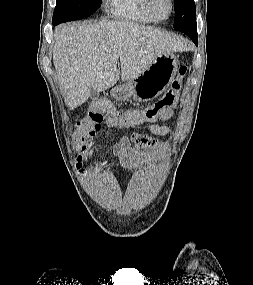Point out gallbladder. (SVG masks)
Wrapping results in <instances>:
<instances>
[{
    "mask_svg": "<svg viewBox=\"0 0 253 285\" xmlns=\"http://www.w3.org/2000/svg\"><path fill=\"white\" fill-rule=\"evenodd\" d=\"M97 96H98V92L93 87H91L90 88V97L96 98Z\"/></svg>",
    "mask_w": 253,
    "mask_h": 285,
    "instance_id": "gallbladder-1",
    "label": "gallbladder"
}]
</instances>
